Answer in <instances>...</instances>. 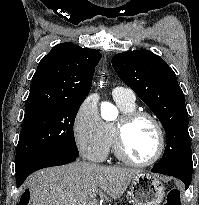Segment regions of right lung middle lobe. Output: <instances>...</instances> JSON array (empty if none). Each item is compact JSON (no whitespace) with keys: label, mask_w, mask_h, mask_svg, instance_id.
Segmentation results:
<instances>
[{"label":"right lung middle lobe","mask_w":199,"mask_h":205,"mask_svg":"<svg viewBox=\"0 0 199 205\" xmlns=\"http://www.w3.org/2000/svg\"><path fill=\"white\" fill-rule=\"evenodd\" d=\"M81 104L55 103L25 112L16 150V171L47 156H79L73 126Z\"/></svg>","instance_id":"dd1d6c3e"}]
</instances>
